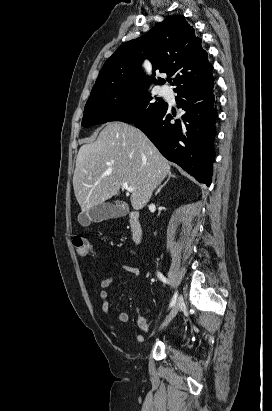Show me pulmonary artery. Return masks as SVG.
I'll use <instances>...</instances> for the list:
<instances>
[{
  "mask_svg": "<svg viewBox=\"0 0 272 411\" xmlns=\"http://www.w3.org/2000/svg\"><path fill=\"white\" fill-rule=\"evenodd\" d=\"M161 92H162V94H163L164 96H169L170 93H171V91H170V89H169L168 87H163L162 90H161Z\"/></svg>",
  "mask_w": 272,
  "mask_h": 411,
  "instance_id": "pulmonary-artery-1",
  "label": "pulmonary artery"
}]
</instances>
